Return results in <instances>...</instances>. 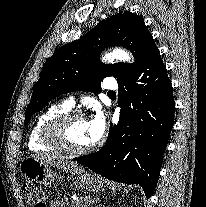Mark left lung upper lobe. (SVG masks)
<instances>
[{"instance_id":"5c2ea615","label":"left lung upper lobe","mask_w":206,"mask_h":207,"mask_svg":"<svg viewBox=\"0 0 206 207\" xmlns=\"http://www.w3.org/2000/svg\"><path fill=\"white\" fill-rule=\"evenodd\" d=\"M155 45L142 17L129 11L100 22L80 39L59 48L43 65L31 101L26 109L24 125L31 116L56 96L74 90H100L104 77L117 82L130 74L147 50ZM110 46H123L132 52L134 64H102L101 52Z\"/></svg>"}]
</instances>
